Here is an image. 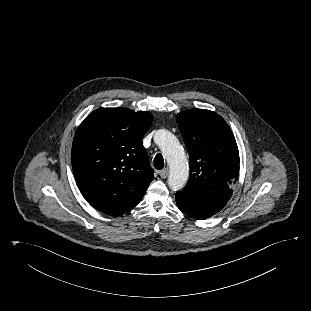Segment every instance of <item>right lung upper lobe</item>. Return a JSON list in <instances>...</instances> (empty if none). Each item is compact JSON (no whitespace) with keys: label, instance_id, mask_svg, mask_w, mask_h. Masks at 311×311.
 <instances>
[{"label":"right lung upper lobe","instance_id":"cb5924a9","mask_svg":"<svg viewBox=\"0 0 311 311\" xmlns=\"http://www.w3.org/2000/svg\"><path fill=\"white\" fill-rule=\"evenodd\" d=\"M150 112L99 108L77 129L72 168L80 192L95 209L120 215L134 208L154 179L142 138Z\"/></svg>","mask_w":311,"mask_h":311}]
</instances>
